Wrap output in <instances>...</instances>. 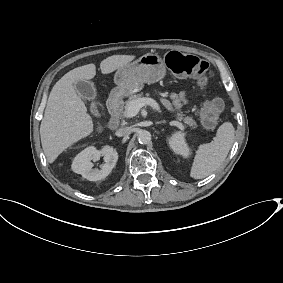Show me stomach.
I'll return each instance as SVG.
<instances>
[{"label": "stomach", "instance_id": "1", "mask_svg": "<svg viewBox=\"0 0 283 283\" xmlns=\"http://www.w3.org/2000/svg\"><path fill=\"white\" fill-rule=\"evenodd\" d=\"M167 68L157 53H146L140 58L119 68L115 75L118 96H130L143 88L144 83L153 84L163 80Z\"/></svg>", "mask_w": 283, "mask_h": 283}]
</instances>
